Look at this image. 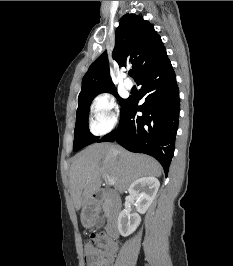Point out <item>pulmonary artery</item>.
I'll return each mask as SVG.
<instances>
[{"instance_id":"obj_1","label":"pulmonary artery","mask_w":233,"mask_h":266,"mask_svg":"<svg viewBox=\"0 0 233 266\" xmlns=\"http://www.w3.org/2000/svg\"><path fill=\"white\" fill-rule=\"evenodd\" d=\"M123 84H124V87L128 90H131L133 88V83L129 78H125Z\"/></svg>"}]
</instances>
